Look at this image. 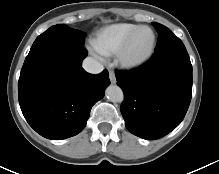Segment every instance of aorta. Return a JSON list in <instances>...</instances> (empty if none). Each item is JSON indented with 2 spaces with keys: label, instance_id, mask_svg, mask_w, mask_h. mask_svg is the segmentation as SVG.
Returning a JSON list of instances; mask_svg holds the SVG:
<instances>
[{
  "label": "aorta",
  "instance_id": "1",
  "mask_svg": "<svg viewBox=\"0 0 219 174\" xmlns=\"http://www.w3.org/2000/svg\"><path fill=\"white\" fill-rule=\"evenodd\" d=\"M106 96L113 103H121L124 100L122 89L117 85H110L106 88Z\"/></svg>",
  "mask_w": 219,
  "mask_h": 174
}]
</instances>
